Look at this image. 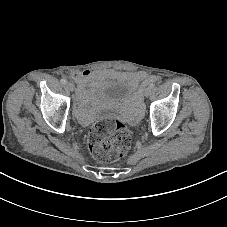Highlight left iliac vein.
<instances>
[{"label": "left iliac vein", "mask_w": 227, "mask_h": 227, "mask_svg": "<svg viewBox=\"0 0 227 227\" xmlns=\"http://www.w3.org/2000/svg\"><path fill=\"white\" fill-rule=\"evenodd\" d=\"M151 91H152V88L148 87L146 90H145V96H149L151 94Z\"/></svg>", "instance_id": "left-iliac-vein-1"}]
</instances>
